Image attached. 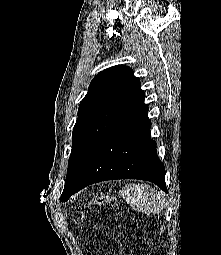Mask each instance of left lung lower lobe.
Masks as SVG:
<instances>
[{"instance_id": "obj_1", "label": "left lung lower lobe", "mask_w": 221, "mask_h": 255, "mask_svg": "<svg viewBox=\"0 0 221 255\" xmlns=\"http://www.w3.org/2000/svg\"><path fill=\"white\" fill-rule=\"evenodd\" d=\"M151 122L144 100L118 122L97 147L71 195L105 180L142 179L167 192L165 169L150 139Z\"/></svg>"}]
</instances>
